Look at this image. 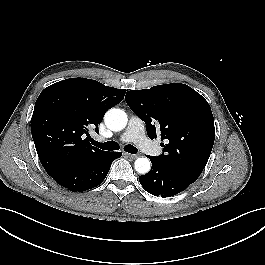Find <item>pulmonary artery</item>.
<instances>
[{
	"label": "pulmonary artery",
	"mask_w": 265,
	"mask_h": 265,
	"mask_svg": "<svg viewBox=\"0 0 265 265\" xmlns=\"http://www.w3.org/2000/svg\"><path fill=\"white\" fill-rule=\"evenodd\" d=\"M122 142H135L141 148H147L151 154L159 155L161 149L151 144V142L145 136V127L143 122L136 116H132L129 121V125L121 136Z\"/></svg>",
	"instance_id": "obj_1"
}]
</instances>
